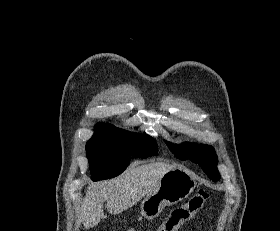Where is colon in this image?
I'll list each match as a JSON object with an SVG mask.
<instances>
[{
    "label": "colon",
    "instance_id": "1",
    "mask_svg": "<svg viewBox=\"0 0 280 231\" xmlns=\"http://www.w3.org/2000/svg\"><path fill=\"white\" fill-rule=\"evenodd\" d=\"M208 196L207 191L199 190L195 192L184 207L175 208L173 215L169 216V219L172 220V225H169L170 221L166 220V225H162L160 231H176L180 229L179 225H189V220H196V215L192 214L200 213V209L207 202Z\"/></svg>",
    "mask_w": 280,
    "mask_h": 231
}]
</instances>
